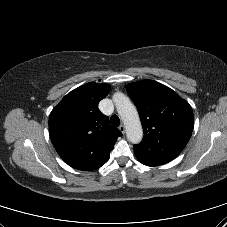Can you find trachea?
<instances>
[{"mask_svg":"<svg viewBox=\"0 0 227 227\" xmlns=\"http://www.w3.org/2000/svg\"><path fill=\"white\" fill-rule=\"evenodd\" d=\"M111 125L118 127L120 125V119L117 115H112L110 118Z\"/></svg>","mask_w":227,"mask_h":227,"instance_id":"obj_1","label":"trachea"}]
</instances>
